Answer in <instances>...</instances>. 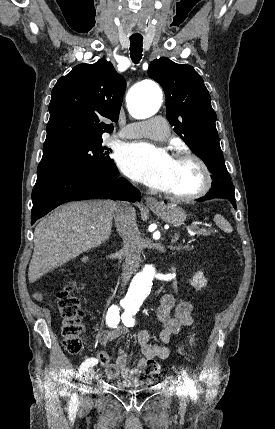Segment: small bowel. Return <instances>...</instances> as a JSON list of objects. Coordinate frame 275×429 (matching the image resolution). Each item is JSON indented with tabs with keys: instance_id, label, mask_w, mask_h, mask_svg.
I'll return each instance as SVG.
<instances>
[{
	"instance_id": "1",
	"label": "small bowel",
	"mask_w": 275,
	"mask_h": 429,
	"mask_svg": "<svg viewBox=\"0 0 275 429\" xmlns=\"http://www.w3.org/2000/svg\"><path fill=\"white\" fill-rule=\"evenodd\" d=\"M37 298L42 300L41 294H36ZM194 305L189 300L176 302L171 294H165L160 298L159 306L155 310L154 318L163 324V330L160 333V339L164 345L150 343V333L147 329L141 330L137 335V340L143 354L133 368L127 364V354L124 349H120L118 357L113 364L106 367V374L110 378L121 377L124 379L137 378L147 368L148 362L155 358L166 359L169 355V349L165 346L170 341L172 335L177 334L182 327L191 326L193 323ZM127 334L125 327H115L103 331L99 335V342L107 344L108 342Z\"/></svg>"
}]
</instances>
